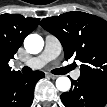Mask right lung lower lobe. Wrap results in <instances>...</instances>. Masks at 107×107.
I'll return each mask as SVG.
<instances>
[{"instance_id": "obj_1", "label": "right lung lower lobe", "mask_w": 107, "mask_h": 107, "mask_svg": "<svg viewBox=\"0 0 107 107\" xmlns=\"http://www.w3.org/2000/svg\"><path fill=\"white\" fill-rule=\"evenodd\" d=\"M43 72L29 74L10 73L0 77V107H30L34 97V85L43 78Z\"/></svg>"}]
</instances>
